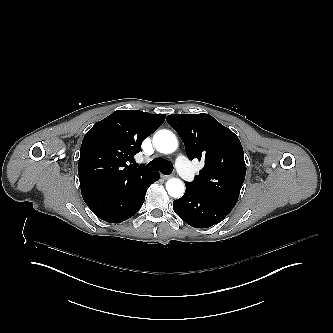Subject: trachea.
I'll list each match as a JSON object with an SVG mask.
<instances>
[{"label":"trachea","instance_id":"obj_1","mask_svg":"<svg viewBox=\"0 0 333 333\" xmlns=\"http://www.w3.org/2000/svg\"><path fill=\"white\" fill-rule=\"evenodd\" d=\"M146 167L152 171H160L164 175H169L173 171V164L161 158L153 159Z\"/></svg>","mask_w":333,"mask_h":333}]
</instances>
